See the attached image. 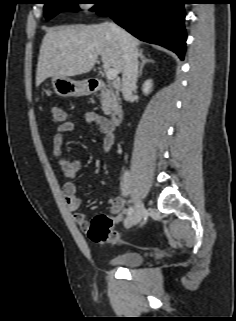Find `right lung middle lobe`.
<instances>
[{
    "mask_svg": "<svg viewBox=\"0 0 236 321\" xmlns=\"http://www.w3.org/2000/svg\"><path fill=\"white\" fill-rule=\"evenodd\" d=\"M95 6L91 9L99 10L104 7L110 0H94ZM77 0H45L44 12L45 18L51 19L56 14L62 11H78L80 10L78 7Z\"/></svg>",
    "mask_w": 236,
    "mask_h": 321,
    "instance_id": "obj_1",
    "label": "right lung middle lobe"
}]
</instances>
